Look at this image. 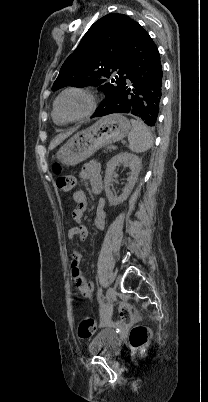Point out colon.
<instances>
[{
  "label": "colon",
  "instance_id": "5ec220e1",
  "mask_svg": "<svg viewBox=\"0 0 208 402\" xmlns=\"http://www.w3.org/2000/svg\"><path fill=\"white\" fill-rule=\"evenodd\" d=\"M53 171L55 175V186L57 190L64 194H70L76 184V179L73 175L61 173V165L55 163L53 165ZM120 320L119 322L123 327H132L130 331L131 340L134 346H140L144 344L147 338L150 337L151 332L148 324H134V320L131 318L132 309L131 302L127 299H122L120 302ZM96 328V322L93 318L87 317L80 319L77 325L78 335L81 339L91 338Z\"/></svg>",
  "mask_w": 208,
  "mask_h": 402
}]
</instances>
